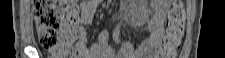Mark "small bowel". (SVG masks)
Here are the masks:
<instances>
[{"label": "small bowel", "instance_id": "obj_1", "mask_svg": "<svg viewBox=\"0 0 225 58\" xmlns=\"http://www.w3.org/2000/svg\"><path fill=\"white\" fill-rule=\"evenodd\" d=\"M101 0L85 1L81 4V25L79 28L78 39L76 42L77 58H147L154 57L157 53L161 37L163 34V26L165 22L166 12L170 7V0H157L151 3L153 11L152 17L147 21L148 37L135 50L128 42H122L120 38L121 28L130 20L125 17L113 30L112 38L118 46L115 51L107 44L108 33L101 31L96 41L87 48V26L93 22L96 10ZM132 2H125L124 5L128 9Z\"/></svg>", "mask_w": 225, "mask_h": 58}]
</instances>
